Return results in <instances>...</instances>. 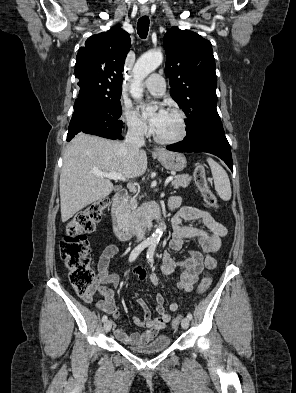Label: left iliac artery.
Listing matches in <instances>:
<instances>
[{
  "label": "left iliac artery",
  "instance_id": "left-iliac-artery-1",
  "mask_svg": "<svg viewBox=\"0 0 296 393\" xmlns=\"http://www.w3.org/2000/svg\"><path fill=\"white\" fill-rule=\"evenodd\" d=\"M155 248H156V244H155V243H151V245L149 246V248H148V250H147V259H148V261H149L150 263H153V256H154ZM187 318H188L189 320H191V319H192V314H191V313H188V314H187Z\"/></svg>",
  "mask_w": 296,
  "mask_h": 393
}]
</instances>
